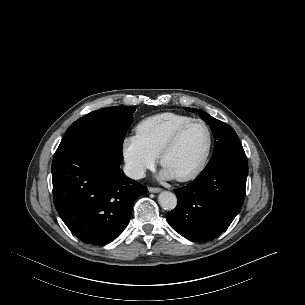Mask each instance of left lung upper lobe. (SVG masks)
Segmentation results:
<instances>
[{"instance_id": "left-lung-upper-lobe-1", "label": "left lung upper lobe", "mask_w": 305, "mask_h": 305, "mask_svg": "<svg viewBox=\"0 0 305 305\" xmlns=\"http://www.w3.org/2000/svg\"><path fill=\"white\" fill-rule=\"evenodd\" d=\"M187 111L199 112L201 118L210 125L214 136V151L210 162H213L222 156L237 151H244L236 132L228 124L210 116L204 111L194 108H185Z\"/></svg>"}]
</instances>
